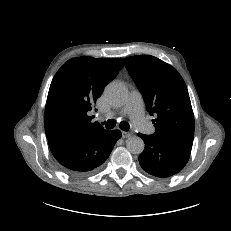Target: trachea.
I'll return each mask as SVG.
<instances>
[{"instance_id": "3493384b", "label": "trachea", "mask_w": 231, "mask_h": 231, "mask_svg": "<svg viewBox=\"0 0 231 231\" xmlns=\"http://www.w3.org/2000/svg\"><path fill=\"white\" fill-rule=\"evenodd\" d=\"M102 124L105 125V127L107 129H112V128H114L116 126V121L114 119H110V120H108L106 122H103ZM119 127H120V129H122L124 131H128L129 128H130L129 124L127 122H125V121H122L120 123Z\"/></svg>"}]
</instances>
